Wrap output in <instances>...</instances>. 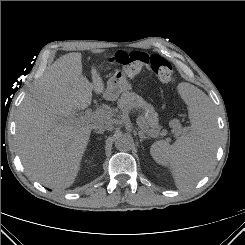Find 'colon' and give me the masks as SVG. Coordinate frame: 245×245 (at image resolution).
Masks as SVG:
<instances>
[{
  "instance_id": "1",
  "label": "colon",
  "mask_w": 245,
  "mask_h": 245,
  "mask_svg": "<svg viewBox=\"0 0 245 245\" xmlns=\"http://www.w3.org/2000/svg\"><path fill=\"white\" fill-rule=\"evenodd\" d=\"M110 61L121 66L128 76H134L143 67L148 68L163 83H172L175 80L172 65L165 58L141 51H119Z\"/></svg>"
}]
</instances>
